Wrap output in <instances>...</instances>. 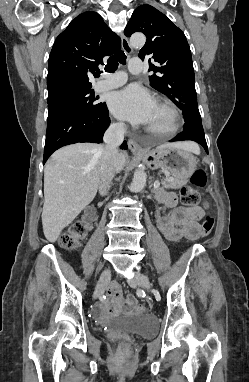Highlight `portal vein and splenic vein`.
Here are the masks:
<instances>
[{"label":"portal vein and splenic vein","instance_id":"1","mask_svg":"<svg viewBox=\"0 0 249 382\" xmlns=\"http://www.w3.org/2000/svg\"><path fill=\"white\" fill-rule=\"evenodd\" d=\"M167 180H173V178H166V179H164V181H167ZM159 186H160L159 181H156V182L154 183V187H155V188H158Z\"/></svg>","mask_w":249,"mask_h":382}]
</instances>
